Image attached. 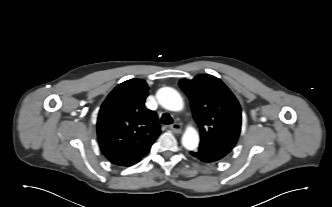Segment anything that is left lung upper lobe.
Segmentation results:
<instances>
[{
	"mask_svg": "<svg viewBox=\"0 0 332 207\" xmlns=\"http://www.w3.org/2000/svg\"><path fill=\"white\" fill-rule=\"evenodd\" d=\"M179 85L200 127V147L229 153L241 129V108L235 96L220 79L207 74L182 79Z\"/></svg>",
	"mask_w": 332,
	"mask_h": 207,
	"instance_id": "obj_1",
	"label": "left lung upper lobe"
}]
</instances>
